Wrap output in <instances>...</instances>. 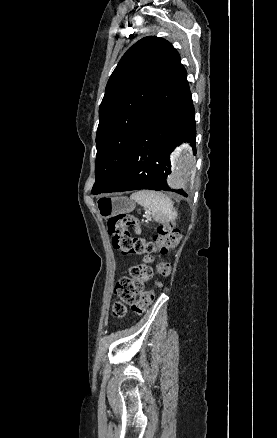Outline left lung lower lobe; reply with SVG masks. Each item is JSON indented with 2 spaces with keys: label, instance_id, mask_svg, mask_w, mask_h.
I'll use <instances>...</instances> for the list:
<instances>
[{
  "label": "left lung lower lobe",
  "instance_id": "1",
  "mask_svg": "<svg viewBox=\"0 0 277 438\" xmlns=\"http://www.w3.org/2000/svg\"><path fill=\"white\" fill-rule=\"evenodd\" d=\"M194 113L180 112L171 104L149 98L136 125L134 141L122 172L102 193L136 189L170 190V154L183 141L191 143L195 154ZM186 196L182 190L177 191Z\"/></svg>",
  "mask_w": 277,
  "mask_h": 438
}]
</instances>
